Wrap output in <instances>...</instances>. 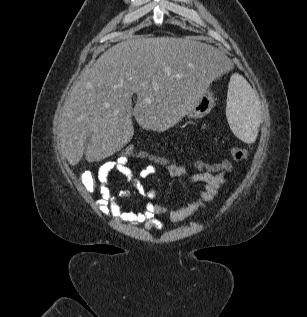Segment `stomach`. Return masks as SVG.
<instances>
[{"instance_id":"obj_1","label":"stomach","mask_w":307,"mask_h":317,"mask_svg":"<svg viewBox=\"0 0 307 317\" xmlns=\"http://www.w3.org/2000/svg\"><path fill=\"white\" fill-rule=\"evenodd\" d=\"M213 95L209 91L199 93L191 103V107L187 113L189 117L203 116L207 114L213 106ZM205 106V109L203 108Z\"/></svg>"}]
</instances>
